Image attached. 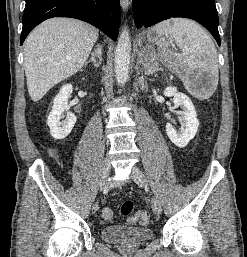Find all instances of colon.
I'll return each instance as SVG.
<instances>
[{
    "label": "colon",
    "instance_id": "1",
    "mask_svg": "<svg viewBox=\"0 0 247 257\" xmlns=\"http://www.w3.org/2000/svg\"><path fill=\"white\" fill-rule=\"evenodd\" d=\"M134 205L131 201H125L121 205V214L128 218L129 223L138 222L139 224L145 226L149 223L150 215L147 211H138L133 214ZM113 217V212L109 208L102 210V218L106 221L111 220Z\"/></svg>",
    "mask_w": 247,
    "mask_h": 257
}]
</instances>
